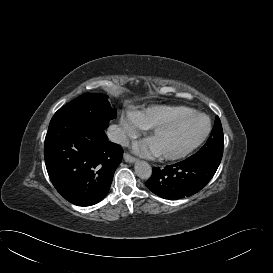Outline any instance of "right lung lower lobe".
Listing matches in <instances>:
<instances>
[{
  "label": "right lung lower lobe",
  "instance_id": "1",
  "mask_svg": "<svg viewBox=\"0 0 273 273\" xmlns=\"http://www.w3.org/2000/svg\"><path fill=\"white\" fill-rule=\"evenodd\" d=\"M123 149L104 128L66 117L52 119L44 142L50 180L69 202L91 206L108 193Z\"/></svg>",
  "mask_w": 273,
  "mask_h": 273
}]
</instances>
